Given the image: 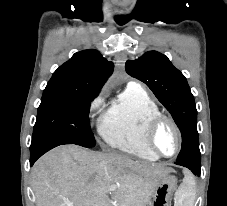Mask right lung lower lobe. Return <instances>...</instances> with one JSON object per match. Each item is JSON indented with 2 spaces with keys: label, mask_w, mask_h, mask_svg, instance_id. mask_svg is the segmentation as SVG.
I'll use <instances>...</instances> for the list:
<instances>
[{
  "label": "right lung lower lobe",
  "mask_w": 227,
  "mask_h": 206,
  "mask_svg": "<svg viewBox=\"0 0 227 206\" xmlns=\"http://www.w3.org/2000/svg\"><path fill=\"white\" fill-rule=\"evenodd\" d=\"M68 144L66 141L60 139V138H50L43 140L35 145L30 146V166H32L35 161L42 156L44 153L49 151L50 149L63 145Z\"/></svg>",
  "instance_id": "right-lung-lower-lobe-1"
}]
</instances>
